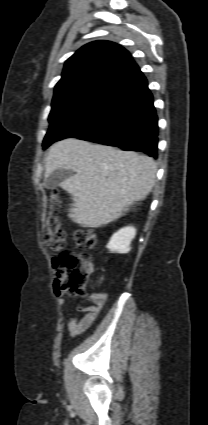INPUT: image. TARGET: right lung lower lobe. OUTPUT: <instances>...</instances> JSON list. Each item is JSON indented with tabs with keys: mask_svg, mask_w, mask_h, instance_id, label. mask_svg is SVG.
I'll return each mask as SVG.
<instances>
[{
	"mask_svg": "<svg viewBox=\"0 0 208 425\" xmlns=\"http://www.w3.org/2000/svg\"><path fill=\"white\" fill-rule=\"evenodd\" d=\"M47 135L52 143L75 137L156 158L158 118L138 65L126 70L93 101L60 117Z\"/></svg>",
	"mask_w": 208,
	"mask_h": 425,
	"instance_id": "98d812e1",
	"label": "right lung lower lobe"
}]
</instances>
